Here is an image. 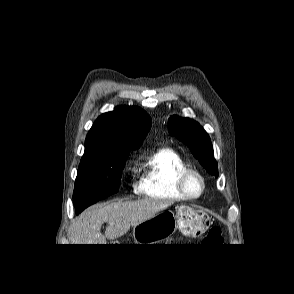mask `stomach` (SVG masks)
<instances>
[{
	"instance_id": "stomach-1",
	"label": "stomach",
	"mask_w": 294,
	"mask_h": 294,
	"mask_svg": "<svg viewBox=\"0 0 294 294\" xmlns=\"http://www.w3.org/2000/svg\"><path fill=\"white\" fill-rule=\"evenodd\" d=\"M211 219L204 211L181 205L176 213L164 210L133 227L136 244H158L171 237L177 230L184 236L196 238L209 228Z\"/></svg>"
}]
</instances>
